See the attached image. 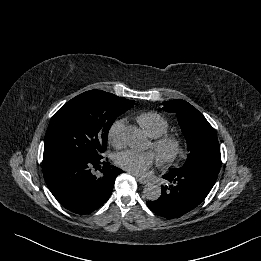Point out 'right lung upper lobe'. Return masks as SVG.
I'll return each instance as SVG.
<instances>
[{
	"label": "right lung upper lobe",
	"mask_w": 261,
	"mask_h": 261,
	"mask_svg": "<svg viewBox=\"0 0 261 261\" xmlns=\"http://www.w3.org/2000/svg\"><path fill=\"white\" fill-rule=\"evenodd\" d=\"M91 91H93V92H104V91H101V90H91ZM105 93H107V92H105ZM107 94H111V93H107ZM113 95V94H112ZM115 96V95H114Z\"/></svg>",
	"instance_id": "right-lung-upper-lobe-1"
}]
</instances>
